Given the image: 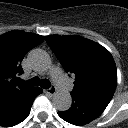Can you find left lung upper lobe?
<instances>
[{"mask_svg": "<svg viewBox=\"0 0 128 128\" xmlns=\"http://www.w3.org/2000/svg\"><path fill=\"white\" fill-rule=\"evenodd\" d=\"M66 72L75 74L72 96L111 100L117 85L116 65L103 46L81 36H46Z\"/></svg>", "mask_w": 128, "mask_h": 128, "instance_id": "1", "label": "left lung upper lobe"}]
</instances>
